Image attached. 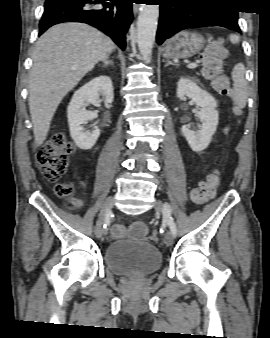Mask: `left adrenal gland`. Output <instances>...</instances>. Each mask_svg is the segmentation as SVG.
Masks as SVG:
<instances>
[{"label": "left adrenal gland", "mask_w": 270, "mask_h": 338, "mask_svg": "<svg viewBox=\"0 0 270 338\" xmlns=\"http://www.w3.org/2000/svg\"><path fill=\"white\" fill-rule=\"evenodd\" d=\"M169 65H176L174 63H172L170 60H167L166 64H165V67L169 66Z\"/></svg>", "instance_id": "left-adrenal-gland-1"}]
</instances>
